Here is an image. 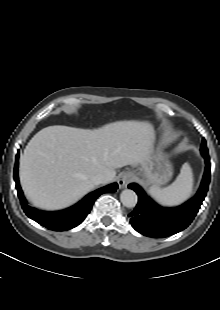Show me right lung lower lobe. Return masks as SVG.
<instances>
[{
  "instance_id": "right-lung-lower-lobe-1",
  "label": "right lung lower lobe",
  "mask_w": 220,
  "mask_h": 310,
  "mask_svg": "<svg viewBox=\"0 0 220 310\" xmlns=\"http://www.w3.org/2000/svg\"><path fill=\"white\" fill-rule=\"evenodd\" d=\"M18 157L19 152L16 155L14 180L16 182L18 197L21 200L22 208L29 218L50 230L66 231L78 226L90 213L96 198H98L103 193H113L118 188L117 183H112L88 194L80 202L68 209L56 212L41 211L29 206L26 203V199L23 195L18 180Z\"/></svg>"
}]
</instances>
